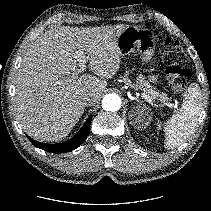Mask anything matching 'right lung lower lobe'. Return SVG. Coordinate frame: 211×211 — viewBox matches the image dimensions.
<instances>
[{
	"mask_svg": "<svg viewBox=\"0 0 211 211\" xmlns=\"http://www.w3.org/2000/svg\"><path fill=\"white\" fill-rule=\"evenodd\" d=\"M91 120H92V116L88 118L84 126L79 130V132L73 138L63 143L45 144V143H40L36 140H33L30 137L28 138L35 147H38L47 152H51L55 154L66 153V152L74 150L85 141L89 133Z\"/></svg>",
	"mask_w": 211,
	"mask_h": 211,
	"instance_id": "right-lung-lower-lobe-1",
	"label": "right lung lower lobe"
}]
</instances>
